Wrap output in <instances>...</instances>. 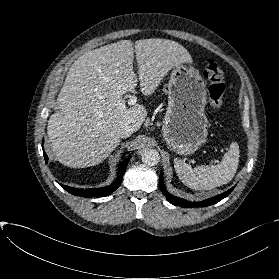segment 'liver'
<instances>
[{"mask_svg":"<svg viewBox=\"0 0 279 279\" xmlns=\"http://www.w3.org/2000/svg\"><path fill=\"white\" fill-rule=\"evenodd\" d=\"M134 52L138 78L133 70ZM192 63L189 52L168 39L121 40L91 50L69 68L57 97L58 111L48 120L47 135L55 158L73 168L94 166L120 143L121 131L139 130L147 111L128 108L122 98L135 90L151 95L168 71Z\"/></svg>","mask_w":279,"mask_h":279,"instance_id":"6515ba94","label":"liver"}]
</instances>
